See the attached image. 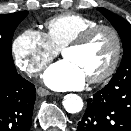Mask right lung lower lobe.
I'll return each instance as SVG.
<instances>
[{
    "mask_svg": "<svg viewBox=\"0 0 131 131\" xmlns=\"http://www.w3.org/2000/svg\"><path fill=\"white\" fill-rule=\"evenodd\" d=\"M35 87L22 78L13 62L0 61V131H28Z\"/></svg>",
    "mask_w": 131,
    "mask_h": 131,
    "instance_id": "1",
    "label": "right lung lower lobe"
}]
</instances>
